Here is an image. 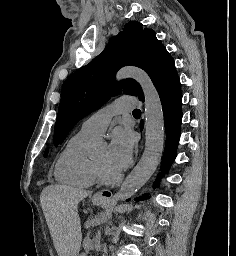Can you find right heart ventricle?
Wrapping results in <instances>:
<instances>
[{
  "label": "right heart ventricle",
  "instance_id": "right-heart-ventricle-1",
  "mask_svg": "<svg viewBox=\"0 0 236 256\" xmlns=\"http://www.w3.org/2000/svg\"><path fill=\"white\" fill-rule=\"evenodd\" d=\"M92 138L79 131L69 140L56 161L54 175L58 183L82 189L95 183L91 160L84 153Z\"/></svg>",
  "mask_w": 236,
  "mask_h": 256
}]
</instances>
